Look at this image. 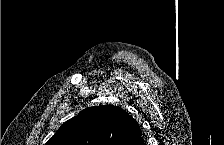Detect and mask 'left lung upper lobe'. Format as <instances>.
<instances>
[{
  "label": "left lung upper lobe",
  "mask_w": 224,
  "mask_h": 145,
  "mask_svg": "<svg viewBox=\"0 0 224 145\" xmlns=\"http://www.w3.org/2000/svg\"><path fill=\"white\" fill-rule=\"evenodd\" d=\"M137 121L120 107H89L66 121L46 145H138Z\"/></svg>",
  "instance_id": "left-lung-upper-lobe-1"
}]
</instances>
